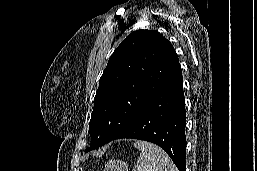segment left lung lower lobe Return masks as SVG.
Here are the masks:
<instances>
[{
	"label": "left lung lower lobe",
	"instance_id": "left-lung-lower-lobe-1",
	"mask_svg": "<svg viewBox=\"0 0 257 171\" xmlns=\"http://www.w3.org/2000/svg\"><path fill=\"white\" fill-rule=\"evenodd\" d=\"M185 125L183 77L177 58L153 96L112 140L132 138L157 144L166 151L179 171H186Z\"/></svg>",
	"mask_w": 257,
	"mask_h": 171
}]
</instances>
